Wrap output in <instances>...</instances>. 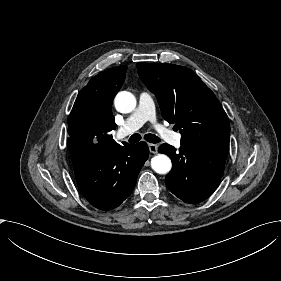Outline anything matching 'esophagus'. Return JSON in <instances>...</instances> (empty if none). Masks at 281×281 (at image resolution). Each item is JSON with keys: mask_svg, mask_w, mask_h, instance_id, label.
I'll return each instance as SVG.
<instances>
[{"mask_svg": "<svg viewBox=\"0 0 281 281\" xmlns=\"http://www.w3.org/2000/svg\"><path fill=\"white\" fill-rule=\"evenodd\" d=\"M149 150L151 153L156 154L158 152V146L156 144H148Z\"/></svg>", "mask_w": 281, "mask_h": 281, "instance_id": "1", "label": "esophagus"}]
</instances>
